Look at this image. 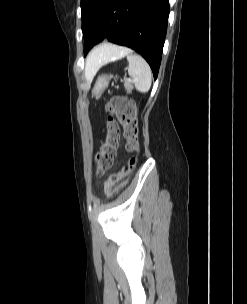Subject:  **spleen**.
I'll use <instances>...</instances> for the list:
<instances>
[{
    "label": "spleen",
    "instance_id": "3e777b00",
    "mask_svg": "<svg viewBox=\"0 0 247 304\" xmlns=\"http://www.w3.org/2000/svg\"><path fill=\"white\" fill-rule=\"evenodd\" d=\"M127 55L129 63L128 74L133 78L135 89L141 93H146L151 87L152 72L150 66L143 57L131 54L129 51H122L118 55H113L109 61H115Z\"/></svg>",
    "mask_w": 247,
    "mask_h": 304
}]
</instances>
